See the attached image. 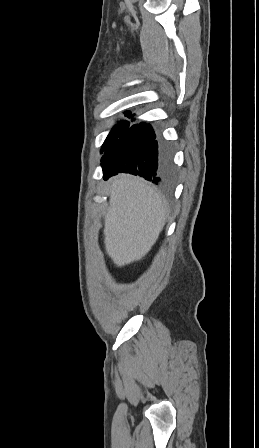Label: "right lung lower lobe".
I'll return each instance as SVG.
<instances>
[{
	"label": "right lung lower lobe",
	"mask_w": 259,
	"mask_h": 448,
	"mask_svg": "<svg viewBox=\"0 0 259 448\" xmlns=\"http://www.w3.org/2000/svg\"><path fill=\"white\" fill-rule=\"evenodd\" d=\"M172 153L169 146L158 145L150 124H134L106 149L101 160L103 178L130 173L153 183L169 181L173 177Z\"/></svg>",
	"instance_id": "right-lung-lower-lobe-1"
}]
</instances>
